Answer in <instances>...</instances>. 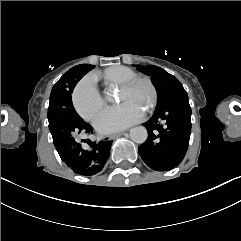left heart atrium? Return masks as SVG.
<instances>
[{
    "label": "left heart atrium",
    "mask_w": 241,
    "mask_h": 241,
    "mask_svg": "<svg viewBox=\"0 0 241 241\" xmlns=\"http://www.w3.org/2000/svg\"><path fill=\"white\" fill-rule=\"evenodd\" d=\"M143 114L139 110H127L125 107L108 108L102 111L93 123L98 131L111 134L122 131L140 122Z\"/></svg>",
    "instance_id": "left-heart-atrium-1"
}]
</instances>
